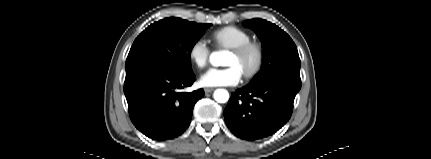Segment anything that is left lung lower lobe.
I'll use <instances>...</instances> for the list:
<instances>
[{"label": "left lung lower lobe", "mask_w": 431, "mask_h": 159, "mask_svg": "<svg viewBox=\"0 0 431 159\" xmlns=\"http://www.w3.org/2000/svg\"><path fill=\"white\" fill-rule=\"evenodd\" d=\"M301 80L279 76L236 90L224 110L225 122L238 138L254 141L274 134L290 119Z\"/></svg>", "instance_id": "left-lung-lower-lobe-1"}]
</instances>
